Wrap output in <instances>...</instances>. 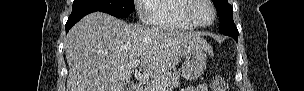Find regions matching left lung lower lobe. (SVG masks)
Segmentation results:
<instances>
[{
  "instance_id": "1",
  "label": "left lung lower lobe",
  "mask_w": 304,
  "mask_h": 91,
  "mask_svg": "<svg viewBox=\"0 0 304 91\" xmlns=\"http://www.w3.org/2000/svg\"><path fill=\"white\" fill-rule=\"evenodd\" d=\"M228 36H231L233 39H235V41H237L238 39V35H228Z\"/></svg>"
}]
</instances>
